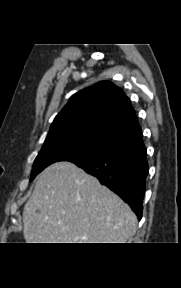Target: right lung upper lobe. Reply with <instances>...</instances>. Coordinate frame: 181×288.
Segmentation results:
<instances>
[{
    "mask_svg": "<svg viewBox=\"0 0 181 288\" xmlns=\"http://www.w3.org/2000/svg\"><path fill=\"white\" fill-rule=\"evenodd\" d=\"M65 138L86 139L109 152L143 144L130 100L107 81L75 93L55 117L45 141Z\"/></svg>",
    "mask_w": 181,
    "mask_h": 288,
    "instance_id": "right-lung-upper-lobe-1",
    "label": "right lung upper lobe"
}]
</instances>
